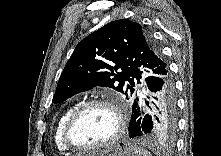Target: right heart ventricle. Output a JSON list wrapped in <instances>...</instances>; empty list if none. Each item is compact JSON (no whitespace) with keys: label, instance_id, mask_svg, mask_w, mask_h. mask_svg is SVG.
Instances as JSON below:
<instances>
[{"label":"right heart ventricle","instance_id":"right-heart-ventricle-1","mask_svg":"<svg viewBox=\"0 0 221 156\" xmlns=\"http://www.w3.org/2000/svg\"><path fill=\"white\" fill-rule=\"evenodd\" d=\"M80 104H81L80 102L70 103L68 106H66V108L62 111V113L58 117V120L55 125V129H54L53 139H54V144L56 148L60 152L70 151V149L64 144L62 140V130H63L64 123L66 119L68 118V116L70 115V113Z\"/></svg>","mask_w":221,"mask_h":156}]
</instances>
